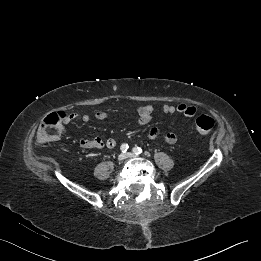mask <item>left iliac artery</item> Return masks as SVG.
Returning a JSON list of instances; mask_svg holds the SVG:
<instances>
[{"label": "left iliac artery", "instance_id": "44dca946", "mask_svg": "<svg viewBox=\"0 0 261 261\" xmlns=\"http://www.w3.org/2000/svg\"><path fill=\"white\" fill-rule=\"evenodd\" d=\"M133 152L138 155V154H141L142 153V149L140 147H134L133 148Z\"/></svg>", "mask_w": 261, "mask_h": 261}]
</instances>
